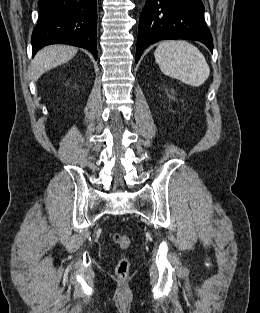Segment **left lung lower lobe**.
<instances>
[{"label": "left lung lower lobe", "instance_id": "left-lung-lower-lobe-1", "mask_svg": "<svg viewBox=\"0 0 260 313\" xmlns=\"http://www.w3.org/2000/svg\"><path fill=\"white\" fill-rule=\"evenodd\" d=\"M201 0H146L139 22L136 63L149 45L169 39H191L213 51Z\"/></svg>", "mask_w": 260, "mask_h": 313}]
</instances>
